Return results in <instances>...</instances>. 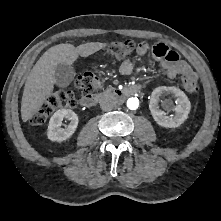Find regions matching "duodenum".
<instances>
[{"label": "duodenum", "mask_w": 221, "mask_h": 221, "mask_svg": "<svg viewBox=\"0 0 221 221\" xmlns=\"http://www.w3.org/2000/svg\"><path fill=\"white\" fill-rule=\"evenodd\" d=\"M140 90H141V87L137 84L131 85L125 89H111L110 88L99 93L85 95L82 98L81 103L83 106L91 107L104 97H112L118 101H122L130 96H133L139 93Z\"/></svg>", "instance_id": "duodenum-1"}]
</instances>
